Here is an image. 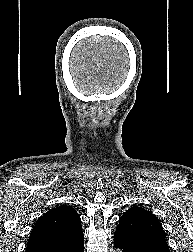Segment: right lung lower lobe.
Here are the masks:
<instances>
[{"instance_id":"obj_1","label":"right lung lower lobe","mask_w":193,"mask_h":252,"mask_svg":"<svg viewBox=\"0 0 193 252\" xmlns=\"http://www.w3.org/2000/svg\"><path fill=\"white\" fill-rule=\"evenodd\" d=\"M40 252H84V237L83 234L74 238L72 241L51 249H44Z\"/></svg>"}]
</instances>
